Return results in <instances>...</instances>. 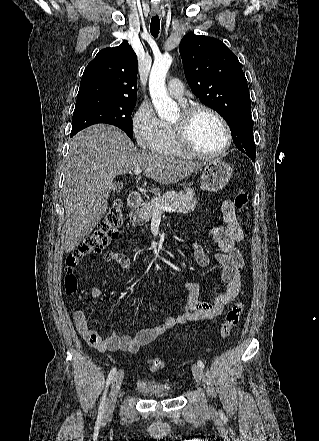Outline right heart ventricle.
<instances>
[{"mask_svg": "<svg viewBox=\"0 0 319 441\" xmlns=\"http://www.w3.org/2000/svg\"><path fill=\"white\" fill-rule=\"evenodd\" d=\"M162 138L155 151L166 156H185L176 145L174 135L169 123L162 122Z\"/></svg>", "mask_w": 319, "mask_h": 441, "instance_id": "right-heart-ventricle-1", "label": "right heart ventricle"}]
</instances>
